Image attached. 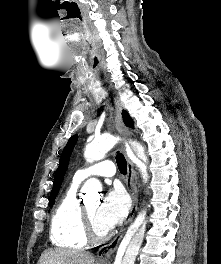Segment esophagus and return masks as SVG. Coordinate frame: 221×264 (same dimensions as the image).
Instances as JSON below:
<instances>
[{
  "mask_svg": "<svg viewBox=\"0 0 221 264\" xmlns=\"http://www.w3.org/2000/svg\"><path fill=\"white\" fill-rule=\"evenodd\" d=\"M114 104H115V123H116V128L121 135L123 139V148L124 151L127 152L128 149V137H129V131L126 128L123 118H122V105L117 97H114ZM127 160V178H126V183H127V188L128 191L131 195L132 198V205L129 213V217L127 221L125 222V226L119 231V233L106 245L102 246L98 252H97V260L101 264H106L111 255L116 251L118 244L120 240L123 237V234L125 232L126 226L129 225L132 221L133 218L136 214L137 211V206H138V195H137V189L135 186V178L136 174L133 168V164L131 160L126 157Z\"/></svg>",
  "mask_w": 221,
  "mask_h": 264,
  "instance_id": "obj_1",
  "label": "esophagus"
}]
</instances>
